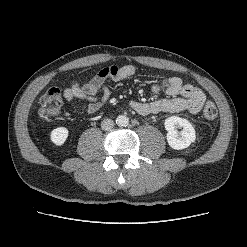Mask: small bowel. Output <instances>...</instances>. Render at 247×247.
Listing matches in <instances>:
<instances>
[{
  "label": "small bowel",
  "mask_w": 247,
  "mask_h": 247,
  "mask_svg": "<svg viewBox=\"0 0 247 247\" xmlns=\"http://www.w3.org/2000/svg\"><path fill=\"white\" fill-rule=\"evenodd\" d=\"M136 72V66H109L94 76L85 84H74L66 88L63 92L64 98L71 102L76 99L88 102V112L96 113L102 103L110 97V90L107 81H123L131 77ZM101 96H98L99 92ZM155 93L163 92L167 98L157 99L151 102H140L133 100L130 102L131 108L140 115H150L158 113H179L188 111L197 114L205 100V94L192 84L184 83L179 77L169 76L153 86Z\"/></svg>",
  "instance_id": "c3829d8e"
}]
</instances>
